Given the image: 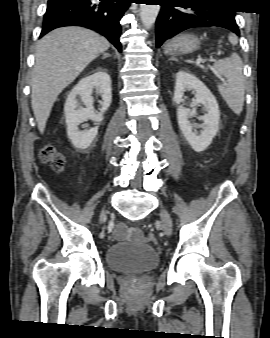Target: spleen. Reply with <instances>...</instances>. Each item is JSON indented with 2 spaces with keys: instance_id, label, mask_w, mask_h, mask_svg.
Listing matches in <instances>:
<instances>
[{
  "instance_id": "1",
  "label": "spleen",
  "mask_w": 270,
  "mask_h": 338,
  "mask_svg": "<svg viewBox=\"0 0 270 338\" xmlns=\"http://www.w3.org/2000/svg\"><path fill=\"white\" fill-rule=\"evenodd\" d=\"M214 68L227 80L226 84L218 85L221 96L235 114H240L243 109L245 93L241 58L237 53H232L230 57L215 62Z\"/></svg>"
}]
</instances>
